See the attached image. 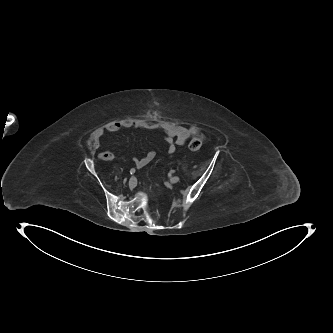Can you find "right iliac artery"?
<instances>
[{
    "label": "right iliac artery",
    "instance_id": "1",
    "mask_svg": "<svg viewBox=\"0 0 333 333\" xmlns=\"http://www.w3.org/2000/svg\"><path fill=\"white\" fill-rule=\"evenodd\" d=\"M135 168H131V170H130V174L132 175V174H134L135 173Z\"/></svg>",
    "mask_w": 333,
    "mask_h": 333
}]
</instances>
